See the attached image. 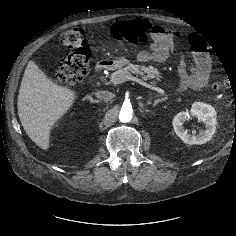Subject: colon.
Segmentation results:
<instances>
[{
	"instance_id": "5ec220e1",
	"label": "colon",
	"mask_w": 236,
	"mask_h": 236,
	"mask_svg": "<svg viewBox=\"0 0 236 236\" xmlns=\"http://www.w3.org/2000/svg\"><path fill=\"white\" fill-rule=\"evenodd\" d=\"M153 25L148 21L134 19L116 23L112 28V35L115 39L130 44L143 43ZM88 32L83 27H75L66 30L60 35L59 42L62 46L71 50V53L64 58L54 78L57 82L75 86L81 82L89 70L90 50L87 46ZM234 84L219 77L213 83V89L217 92L224 89H233Z\"/></svg>"
}]
</instances>
